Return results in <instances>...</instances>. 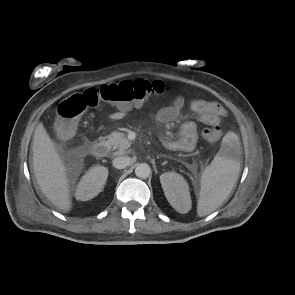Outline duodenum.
I'll use <instances>...</instances> for the list:
<instances>
[{"instance_id":"duodenum-1","label":"duodenum","mask_w":295,"mask_h":295,"mask_svg":"<svg viewBox=\"0 0 295 295\" xmlns=\"http://www.w3.org/2000/svg\"><path fill=\"white\" fill-rule=\"evenodd\" d=\"M108 144L104 141H98L91 144L84 145L85 152H91L97 157H104L108 153Z\"/></svg>"}]
</instances>
